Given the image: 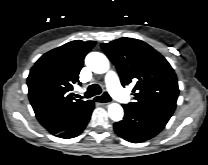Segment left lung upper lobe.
Masks as SVG:
<instances>
[{
    "instance_id": "1",
    "label": "left lung upper lobe",
    "mask_w": 208,
    "mask_h": 165,
    "mask_svg": "<svg viewBox=\"0 0 208 165\" xmlns=\"http://www.w3.org/2000/svg\"><path fill=\"white\" fill-rule=\"evenodd\" d=\"M101 48L116 66L121 84L134 85V102L129 106L173 114L179 93L177 78L159 52L141 40L127 37L102 43Z\"/></svg>"
}]
</instances>
